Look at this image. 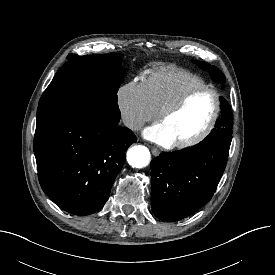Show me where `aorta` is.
<instances>
[{
	"label": "aorta",
	"mask_w": 275,
	"mask_h": 275,
	"mask_svg": "<svg viewBox=\"0 0 275 275\" xmlns=\"http://www.w3.org/2000/svg\"><path fill=\"white\" fill-rule=\"evenodd\" d=\"M150 158L149 149L142 145H135L127 151V161L134 168L146 167Z\"/></svg>",
	"instance_id": "762f6f07"
}]
</instances>
